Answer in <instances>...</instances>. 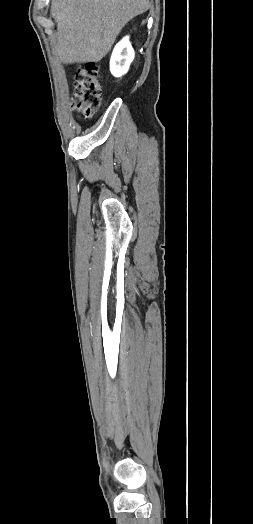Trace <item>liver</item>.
I'll return each instance as SVG.
<instances>
[{"mask_svg":"<svg viewBox=\"0 0 253 524\" xmlns=\"http://www.w3.org/2000/svg\"><path fill=\"white\" fill-rule=\"evenodd\" d=\"M149 6V0H53L55 49L61 62L100 61L126 23Z\"/></svg>","mask_w":253,"mask_h":524,"instance_id":"obj_1","label":"liver"}]
</instances>
